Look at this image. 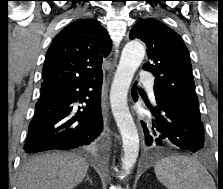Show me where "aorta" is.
Segmentation results:
<instances>
[{
    "label": "aorta",
    "mask_w": 223,
    "mask_h": 189,
    "mask_svg": "<svg viewBox=\"0 0 223 189\" xmlns=\"http://www.w3.org/2000/svg\"><path fill=\"white\" fill-rule=\"evenodd\" d=\"M144 56L145 47L140 41L128 42L123 48L110 90L112 113L123 141L122 169L127 174L134 167L139 153V135L128 108L127 95Z\"/></svg>",
    "instance_id": "obj_1"
}]
</instances>
